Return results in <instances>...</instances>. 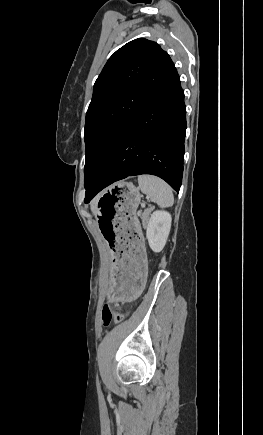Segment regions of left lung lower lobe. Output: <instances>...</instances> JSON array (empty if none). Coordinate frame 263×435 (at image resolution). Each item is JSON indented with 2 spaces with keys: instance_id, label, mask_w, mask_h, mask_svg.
I'll list each match as a JSON object with an SVG mask.
<instances>
[{
  "instance_id": "obj_1",
  "label": "left lung lower lobe",
  "mask_w": 263,
  "mask_h": 435,
  "mask_svg": "<svg viewBox=\"0 0 263 435\" xmlns=\"http://www.w3.org/2000/svg\"><path fill=\"white\" fill-rule=\"evenodd\" d=\"M186 107L176 73L133 119L105 166L86 190L85 203L128 176L152 174L177 192L183 176Z\"/></svg>"
}]
</instances>
